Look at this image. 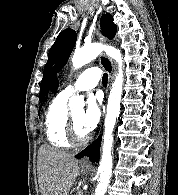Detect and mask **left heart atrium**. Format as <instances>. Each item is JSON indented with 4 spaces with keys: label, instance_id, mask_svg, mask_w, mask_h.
I'll list each match as a JSON object with an SVG mask.
<instances>
[{
    "label": "left heart atrium",
    "instance_id": "obj_1",
    "mask_svg": "<svg viewBox=\"0 0 178 195\" xmlns=\"http://www.w3.org/2000/svg\"><path fill=\"white\" fill-rule=\"evenodd\" d=\"M100 118V106L98 101L91 97L88 100L87 108L82 118V128L86 134L90 133L95 129Z\"/></svg>",
    "mask_w": 178,
    "mask_h": 195
}]
</instances>
